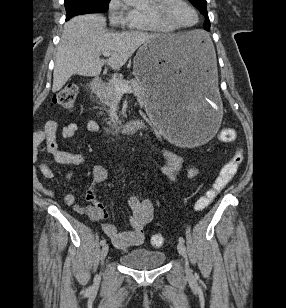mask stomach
<instances>
[{
    "instance_id": "obj_1",
    "label": "stomach",
    "mask_w": 286,
    "mask_h": 308,
    "mask_svg": "<svg viewBox=\"0 0 286 308\" xmlns=\"http://www.w3.org/2000/svg\"><path fill=\"white\" fill-rule=\"evenodd\" d=\"M200 30L185 33L198 34ZM216 48L208 35L154 36L140 44L133 74L146 89L144 107L172 144H214L220 125Z\"/></svg>"
}]
</instances>
